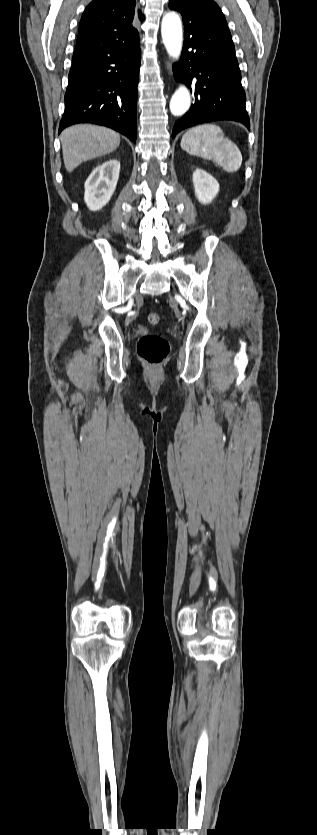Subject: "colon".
Here are the masks:
<instances>
[{
    "label": "colon",
    "instance_id": "obj_1",
    "mask_svg": "<svg viewBox=\"0 0 317 835\" xmlns=\"http://www.w3.org/2000/svg\"><path fill=\"white\" fill-rule=\"evenodd\" d=\"M147 322L152 326L157 325L160 322V315L156 312L148 314ZM137 352L148 365L156 367L165 360L169 345L161 336L148 334L139 340Z\"/></svg>",
    "mask_w": 317,
    "mask_h": 835
}]
</instances>
